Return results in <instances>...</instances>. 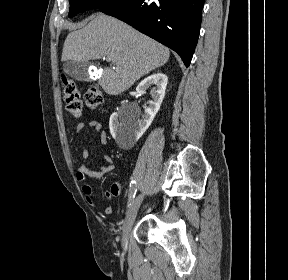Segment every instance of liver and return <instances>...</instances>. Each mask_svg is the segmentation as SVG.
I'll return each mask as SVG.
<instances>
[{"mask_svg": "<svg viewBox=\"0 0 288 280\" xmlns=\"http://www.w3.org/2000/svg\"><path fill=\"white\" fill-rule=\"evenodd\" d=\"M111 57L113 67H105L99 85L109 95H118L135 81L164 65L169 49L122 21L96 13L83 28L70 32L61 60L88 61Z\"/></svg>", "mask_w": 288, "mask_h": 280, "instance_id": "1", "label": "liver"}]
</instances>
